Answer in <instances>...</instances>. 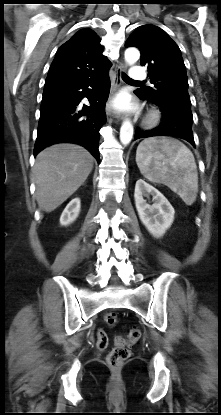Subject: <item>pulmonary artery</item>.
Returning a JSON list of instances; mask_svg holds the SVG:
<instances>
[{
	"label": "pulmonary artery",
	"mask_w": 221,
	"mask_h": 415,
	"mask_svg": "<svg viewBox=\"0 0 221 415\" xmlns=\"http://www.w3.org/2000/svg\"><path fill=\"white\" fill-rule=\"evenodd\" d=\"M130 78L134 81H143L146 79V73L143 68L134 66L130 71Z\"/></svg>",
	"instance_id": "obj_1"
}]
</instances>
